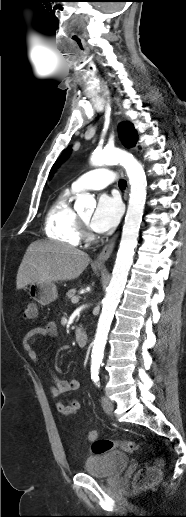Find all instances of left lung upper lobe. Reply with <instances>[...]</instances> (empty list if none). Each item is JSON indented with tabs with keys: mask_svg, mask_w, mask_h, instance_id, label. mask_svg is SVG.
<instances>
[{
	"mask_svg": "<svg viewBox=\"0 0 186 517\" xmlns=\"http://www.w3.org/2000/svg\"><path fill=\"white\" fill-rule=\"evenodd\" d=\"M119 137H120L123 145L127 148H131V147L135 146V144L137 142V135L133 128V125L130 123H127V122L121 123L119 125ZM69 151H70L69 149L64 151L62 153V155L60 156V158L55 162V164L53 165V167L50 171L49 178L52 177L53 172L60 165V163L65 159V157L68 155Z\"/></svg>",
	"mask_w": 186,
	"mask_h": 517,
	"instance_id": "1",
	"label": "left lung upper lobe"
}]
</instances>
